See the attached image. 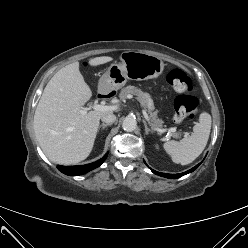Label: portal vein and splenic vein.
I'll return each mask as SVG.
<instances>
[{
  "label": "portal vein and splenic vein",
  "instance_id": "obj_1",
  "mask_svg": "<svg viewBox=\"0 0 248 248\" xmlns=\"http://www.w3.org/2000/svg\"><path fill=\"white\" fill-rule=\"evenodd\" d=\"M127 98L128 99H131L133 98V95L129 94L127 95ZM119 108L118 105H94L93 106V109L95 111H101V112H104V111H115ZM75 112H78L79 114L81 115H85L87 113V109H79V110H75ZM142 114L144 116V118L146 119V121L154 128V130H156L157 132L159 133H164L166 132V129H160V128H156L152 125L150 119H149V116L146 112V110L142 109ZM176 131V128H170L168 129V134L171 133V132H175Z\"/></svg>",
  "mask_w": 248,
  "mask_h": 248
}]
</instances>
